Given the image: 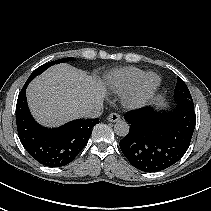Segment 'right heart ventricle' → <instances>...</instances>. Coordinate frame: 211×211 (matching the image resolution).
<instances>
[{
  "mask_svg": "<svg viewBox=\"0 0 211 211\" xmlns=\"http://www.w3.org/2000/svg\"><path fill=\"white\" fill-rule=\"evenodd\" d=\"M146 73L134 67H127L112 72L107 77L110 89L117 94H128L137 86Z\"/></svg>",
  "mask_w": 211,
  "mask_h": 211,
  "instance_id": "right-heart-ventricle-1",
  "label": "right heart ventricle"
}]
</instances>
